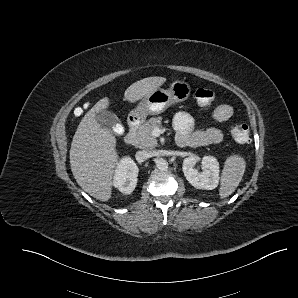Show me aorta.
Listing matches in <instances>:
<instances>
[{"label": "aorta", "instance_id": "1", "mask_svg": "<svg viewBox=\"0 0 298 298\" xmlns=\"http://www.w3.org/2000/svg\"><path fill=\"white\" fill-rule=\"evenodd\" d=\"M157 169L165 170L168 167V162L165 158H158L155 162Z\"/></svg>", "mask_w": 298, "mask_h": 298}]
</instances>
